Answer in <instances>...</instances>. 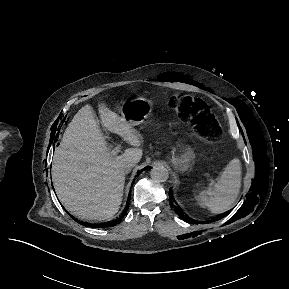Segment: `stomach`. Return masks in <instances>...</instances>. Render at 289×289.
<instances>
[{"instance_id":"obj_1","label":"stomach","mask_w":289,"mask_h":289,"mask_svg":"<svg viewBox=\"0 0 289 289\" xmlns=\"http://www.w3.org/2000/svg\"><path fill=\"white\" fill-rule=\"evenodd\" d=\"M153 103L150 99L138 97L122 105L121 117L131 126L142 123L152 112ZM194 153L188 145H181L178 154L174 157V164L180 171L191 168Z\"/></svg>"}]
</instances>
